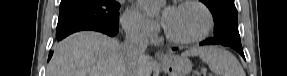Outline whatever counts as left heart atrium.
Listing matches in <instances>:
<instances>
[{"instance_id": "left-heart-atrium-1", "label": "left heart atrium", "mask_w": 287, "mask_h": 76, "mask_svg": "<svg viewBox=\"0 0 287 76\" xmlns=\"http://www.w3.org/2000/svg\"><path fill=\"white\" fill-rule=\"evenodd\" d=\"M174 12V7H166L162 13V21L164 24L169 20L170 16Z\"/></svg>"}]
</instances>
